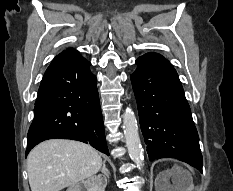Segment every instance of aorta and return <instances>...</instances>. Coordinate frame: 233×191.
<instances>
[{"mask_svg": "<svg viewBox=\"0 0 233 191\" xmlns=\"http://www.w3.org/2000/svg\"><path fill=\"white\" fill-rule=\"evenodd\" d=\"M123 127L129 156L140 168L143 165L144 150L140 142L137 120L130 108H127L123 114Z\"/></svg>", "mask_w": 233, "mask_h": 191, "instance_id": "aorta-1", "label": "aorta"}]
</instances>
